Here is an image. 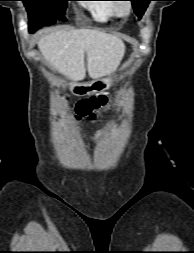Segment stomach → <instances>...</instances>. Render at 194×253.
Wrapping results in <instances>:
<instances>
[{"label":"stomach","mask_w":194,"mask_h":253,"mask_svg":"<svg viewBox=\"0 0 194 253\" xmlns=\"http://www.w3.org/2000/svg\"><path fill=\"white\" fill-rule=\"evenodd\" d=\"M111 86V80L109 78H99L91 82L74 84L71 86V91L79 96L87 95L93 92H102Z\"/></svg>","instance_id":"stomach-1"}]
</instances>
